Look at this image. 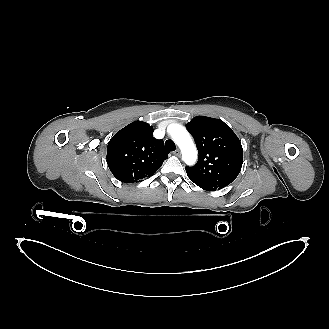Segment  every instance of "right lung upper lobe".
I'll use <instances>...</instances> for the list:
<instances>
[{
    "label": "right lung upper lobe",
    "mask_w": 329,
    "mask_h": 329,
    "mask_svg": "<svg viewBox=\"0 0 329 329\" xmlns=\"http://www.w3.org/2000/svg\"><path fill=\"white\" fill-rule=\"evenodd\" d=\"M162 140L153 137V127L134 121L118 131L107 146L110 171L124 183L152 176L167 158Z\"/></svg>",
    "instance_id": "cb5924a9"
}]
</instances>
